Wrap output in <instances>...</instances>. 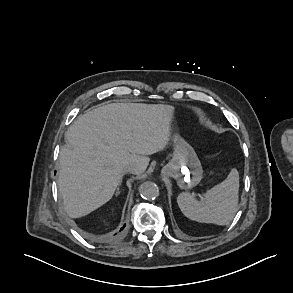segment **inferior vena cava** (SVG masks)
Instances as JSON below:
<instances>
[{"label":"inferior vena cava","instance_id":"inferior-vena-cava-1","mask_svg":"<svg viewBox=\"0 0 293 293\" xmlns=\"http://www.w3.org/2000/svg\"><path fill=\"white\" fill-rule=\"evenodd\" d=\"M135 171L134 167L132 166H129L127 169H126V172H130V173H133Z\"/></svg>","mask_w":293,"mask_h":293}]
</instances>
